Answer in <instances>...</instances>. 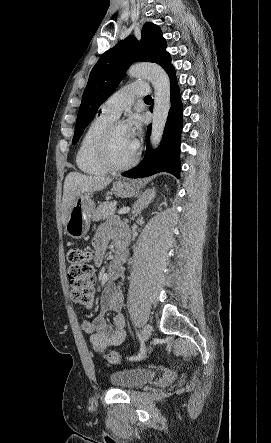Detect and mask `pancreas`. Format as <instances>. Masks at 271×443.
Listing matches in <instances>:
<instances>
[{
	"instance_id": "1",
	"label": "pancreas",
	"mask_w": 271,
	"mask_h": 443,
	"mask_svg": "<svg viewBox=\"0 0 271 443\" xmlns=\"http://www.w3.org/2000/svg\"><path fill=\"white\" fill-rule=\"evenodd\" d=\"M117 202H104L100 204L97 210H94L92 214V220H107V218H114L115 208Z\"/></svg>"
}]
</instances>
